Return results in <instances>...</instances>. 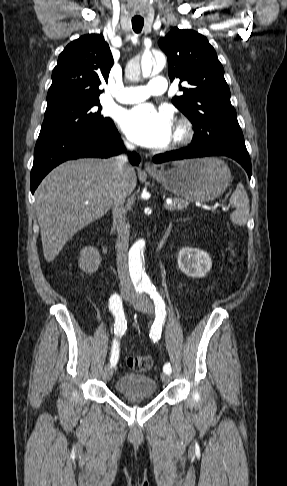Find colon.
I'll list each match as a JSON object with an SVG mask.
<instances>
[{"label":"colon","mask_w":287,"mask_h":486,"mask_svg":"<svg viewBox=\"0 0 287 486\" xmlns=\"http://www.w3.org/2000/svg\"><path fill=\"white\" fill-rule=\"evenodd\" d=\"M127 365L134 371L146 372L152 367V360L148 356L136 355L127 359Z\"/></svg>","instance_id":"1"}]
</instances>
